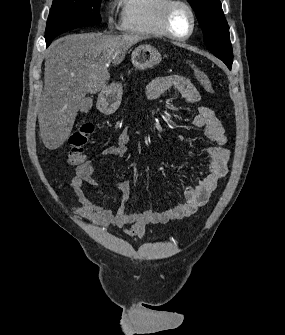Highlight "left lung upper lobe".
<instances>
[{"instance_id": "1", "label": "left lung upper lobe", "mask_w": 285, "mask_h": 335, "mask_svg": "<svg viewBox=\"0 0 285 335\" xmlns=\"http://www.w3.org/2000/svg\"><path fill=\"white\" fill-rule=\"evenodd\" d=\"M204 34V43L230 69L233 51L220 0H188Z\"/></svg>"}]
</instances>
